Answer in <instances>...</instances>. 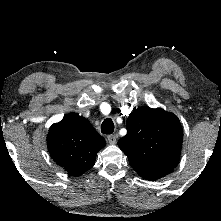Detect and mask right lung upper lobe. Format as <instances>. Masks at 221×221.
Instances as JSON below:
<instances>
[{"label": "right lung upper lobe", "instance_id": "cb5924a9", "mask_svg": "<svg viewBox=\"0 0 221 221\" xmlns=\"http://www.w3.org/2000/svg\"><path fill=\"white\" fill-rule=\"evenodd\" d=\"M105 144L104 138L90 122L77 114H70L53 124L47 136L53 160L76 176L94 166L96 155Z\"/></svg>", "mask_w": 221, "mask_h": 221}]
</instances>
